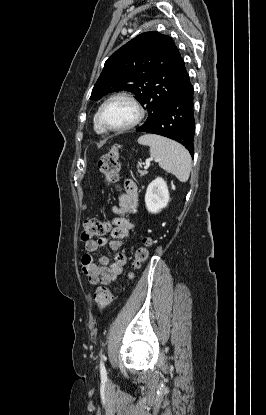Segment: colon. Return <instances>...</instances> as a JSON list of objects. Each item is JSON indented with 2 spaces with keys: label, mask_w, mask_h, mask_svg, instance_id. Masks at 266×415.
<instances>
[{
  "label": "colon",
  "mask_w": 266,
  "mask_h": 415,
  "mask_svg": "<svg viewBox=\"0 0 266 415\" xmlns=\"http://www.w3.org/2000/svg\"><path fill=\"white\" fill-rule=\"evenodd\" d=\"M98 167L107 184H115L118 180L119 172V153L116 147L110 148L102 155L98 162ZM109 230V225L97 218H88L84 221L82 232L83 240H92L104 235ZM152 240L144 238L142 244L137 248L134 254L133 267L137 268L144 263L149 256V248ZM132 276V275H130ZM113 298V292L110 288L99 287L94 293V301L100 311H104Z\"/></svg>",
  "instance_id": "obj_1"
}]
</instances>
